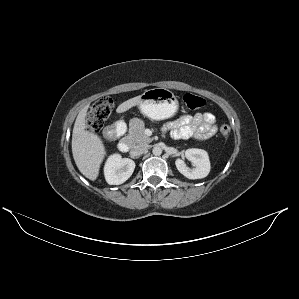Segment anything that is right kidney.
I'll use <instances>...</instances> for the list:
<instances>
[{
	"label": "right kidney",
	"mask_w": 299,
	"mask_h": 299,
	"mask_svg": "<svg viewBox=\"0 0 299 299\" xmlns=\"http://www.w3.org/2000/svg\"><path fill=\"white\" fill-rule=\"evenodd\" d=\"M135 162L129 158H122L120 154L109 156L104 166V175L108 184L119 185L132 175Z\"/></svg>",
	"instance_id": "right-kidney-1"
}]
</instances>
